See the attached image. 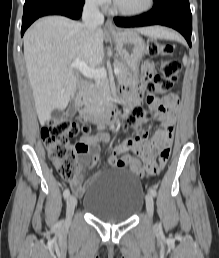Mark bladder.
<instances>
[{
    "label": "bladder",
    "mask_w": 219,
    "mask_h": 258,
    "mask_svg": "<svg viewBox=\"0 0 219 258\" xmlns=\"http://www.w3.org/2000/svg\"><path fill=\"white\" fill-rule=\"evenodd\" d=\"M143 185L133 173L114 168L91 178L82 199L84 209L108 223L132 218L142 207Z\"/></svg>",
    "instance_id": "31cf9c89"
}]
</instances>
